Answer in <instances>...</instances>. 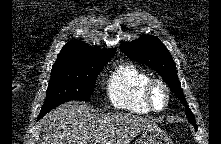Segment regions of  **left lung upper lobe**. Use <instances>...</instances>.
I'll return each mask as SVG.
<instances>
[{"instance_id":"obj_1","label":"left lung upper lobe","mask_w":221,"mask_h":144,"mask_svg":"<svg viewBox=\"0 0 221 144\" xmlns=\"http://www.w3.org/2000/svg\"><path fill=\"white\" fill-rule=\"evenodd\" d=\"M120 49L129 58L151 67L163 78L176 96L180 98L183 105L186 106L188 119L197 130L195 117L183 96L175 62L165 45L155 36L146 35L132 42L122 43Z\"/></svg>"}]
</instances>
